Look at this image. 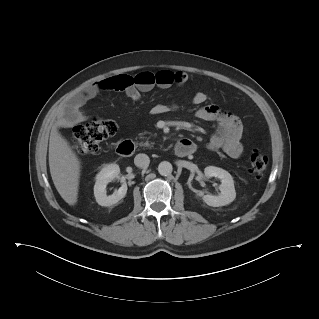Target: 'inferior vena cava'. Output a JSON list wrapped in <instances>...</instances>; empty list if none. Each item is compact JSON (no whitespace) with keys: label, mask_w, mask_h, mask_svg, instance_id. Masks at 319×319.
Wrapping results in <instances>:
<instances>
[{"label":"inferior vena cava","mask_w":319,"mask_h":319,"mask_svg":"<svg viewBox=\"0 0 319 319\" xmlns=\"http://www.w3.org/2000/svg\"><path fill=\"white\" fill-rule=\"evenodd\" d=\"M134 163L137 167L145 169L149 166L150 159L146 154L140 153L134 158Z\"/></svg>","instance_id":"602c4592"}]
</instances>
